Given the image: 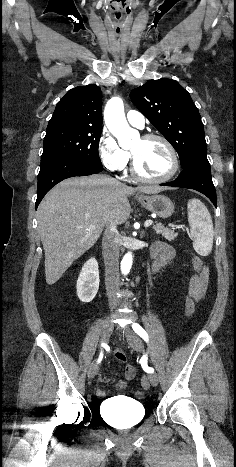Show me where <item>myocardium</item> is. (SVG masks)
<instances>
[{"label":"myocardium","instance_id":"f54148a6","mask_svg":"<svg viewBox=\"0 0 236 467\" xmlns=\"http://www.w3.org/2000/svg\"><path fill=\"white\" fill-rule=\"evenodd\" d=\"M142 140L144 141H152V140H158L160 142H162L167 150L169 151L170 153V156H171V160H172V166H171V169L170 171L162 176V177H157V178H151V177H147V176H144L142 175L138 168H137V163H136V159H135V156L133 155V153L131 152V172H132V175L142 181V182H146V183H164V182H167L169 180H171L179 171V168H180V160H179V156H178V153L175 149V147L173 146V144L164 136L162 135H159V134H146L144 136L141 137Z\"/></svg>","mask_w":236,"mask_h":467}]
</instances>
